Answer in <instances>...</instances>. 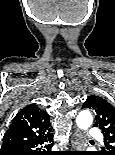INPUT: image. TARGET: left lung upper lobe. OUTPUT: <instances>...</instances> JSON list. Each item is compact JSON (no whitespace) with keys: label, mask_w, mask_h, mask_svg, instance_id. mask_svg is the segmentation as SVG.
<instances>
[{"label":"left lung upper lobe","mask_w":115,"mask_h":155,"mask_svg":"<svg viewBox=\"0 0 115 155\" xmlns=\"http://www.w3.org/2000/svg\"><path fill=\"white\" fill-rule=\"evenodd\" d=\"M96 113L95 127L101 129L105 147L97 155H115V108L105 99L92 95L83 104Z\"/></svg>","instance_id":"5c2ea615"}]
</instances>
